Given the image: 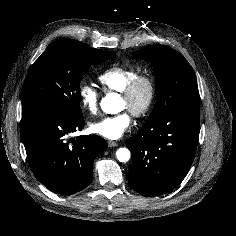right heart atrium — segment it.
<instances>
[{"label":"right heart atrium","mask_w":236,"mask_h":236,"mask_svg":"<svg viewBox=\"0 0 236 236\" xmlns=\"http://www.w3.org/2000/svg\"><path fill=\"white\" fill-rule=\"evenodd\" d=\"M79 97L82 106L92 115L99 110V93L95 87L90 84H83L79 88Z\"/></svg>","instance_id":"obj_1"}]
</instances>
